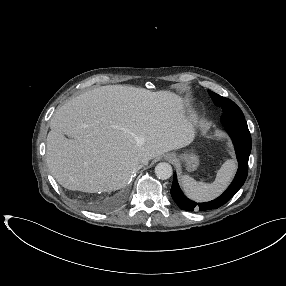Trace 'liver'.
Masks as SVG:
<instances>
[{
  "instance_id": "6515ba94",
  "label": "liver",
  "mask_w": 286,
  "mask_h": 286,
  "mask_svg": "<svg viewBox=\"0 0 286 286\" xmlns=\"http://www.w3.org/2000/svg\"><path fill=\"white\" fill-rule=\"evenodd\" d=\"M195 124V114L186 116L185 100L173 92L101 86L53 114L47 165L69 190H118L127 185L137 165L189 145Z\"/></svg>"
}]
</instances>
